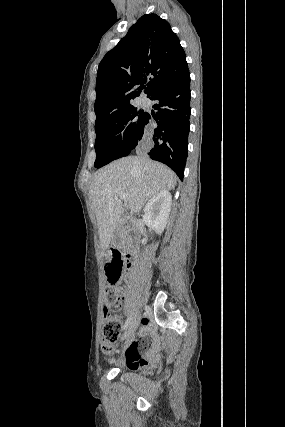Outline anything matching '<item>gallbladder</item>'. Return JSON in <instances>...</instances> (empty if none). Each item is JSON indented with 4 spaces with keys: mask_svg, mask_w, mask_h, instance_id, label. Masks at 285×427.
<instances>
[{
    "mask_svg": "<svg viewBox=\"0 0 285 427\" xmlns=\"http://www.w3.org/2000/svg\"><path fill=\"white\" fill-rule=\"evenodd\" d=\"M127 215V210L125 209L122 217L124 218ZM114 247H119L121 245V229L120 227L115 231L114 238L112 240Z\"/></svg>",
    "mask_w": 285,
    "mask_h": 427,
    "instance_id": "1",
    "label": "gallbladder"
}]
</instances>
